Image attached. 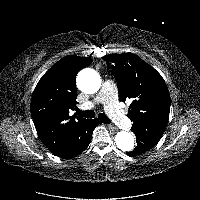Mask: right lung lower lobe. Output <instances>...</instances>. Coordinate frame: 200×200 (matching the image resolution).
Segmentation results:
<instances>
[{"mask_svg": "<svg viewBox=\"0 0 200 200\" xmlns=\"http://www.w3.org/2000/svg\"><path fill=\"white\" fill-rule=\"evenodd\" d=\"M98 124H100L98 119L88 120V122L85 123L82 129L78 132L72 146L69 149H67L65 152L57 156L64 159H69V158L75 157L76 155L84 151L88 147L91 141V136L94 131V128Z\"/></svg>", "mask_w": 200, "mask_h": 200, "instance_id": "1", "label": "right lung lower lobe"}]
</instances>
